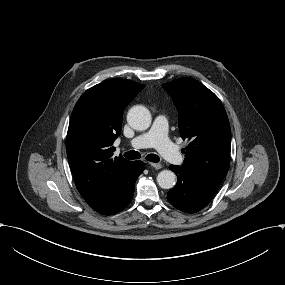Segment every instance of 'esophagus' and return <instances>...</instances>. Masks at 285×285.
I'll return each mask as SVG.
<instances>
[{
    "label": "esophagus",
    "instance_id": "34e87169",
    "mask_svg": "<svg viewBox=\"0 0 285 285\" xmlns=\"http://www.w3.org/2000/svg\"><path fill=\"white\" fill-rule=\"evenodd\" d=\"M149 165L155 169H161L162 168V165L160 163L150 162Z\"/></svg>",
    "mask_w": 285,
    "mask_h": 285
}]
</instances>
